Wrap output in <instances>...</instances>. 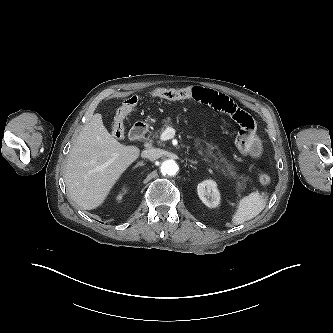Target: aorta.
<instances>
[{
  "label": "aorta",
  "mask_w": 333,
  "mask_h": 333,
  "mask_svg": "<svg viewBox=\"0 0 333 333\" xmlns=\"http://www.w3.org/2000/svg\"><path fill=\"white\" fill-rule=\"evenodd\" d=\"M178 169V165L173 159L164 160L160 166V171L163 175L173 176L177 173Z\"/></svg>",
  "instance_id": "1"
}]
</instances>
